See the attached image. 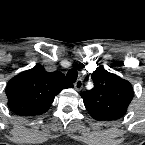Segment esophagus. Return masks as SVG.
<instances>
[{"mask_svg":"<svg viewBox=\"0 0 145 145\" xmlns=\"http://www.w3.org/2000/svg\"><path fill=\"white\" fill-rule=\"evenodd\" d=\"M83 86V81L82 79H78L75 83H74V87L77 91H80L82 89Z\"/></svg>","mask_w":145,"mask_h":145,"instance_id":"34e87169","label":"esophagus"}]
</instances>
